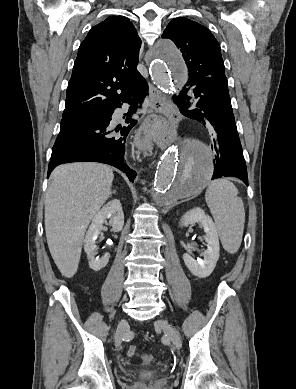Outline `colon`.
<instances>
[{"label": "colon", "mask_w": 296, "mask_h": 389, "mask_svg": "<svg viewBox=\"0 0 296 389\" xmlns=\"http://www.w3.org/2000/svg\"><path fill=\"white\" fill-rule=\"evenodd\" d=\"M127 354H128V356H130V357L135 356V355L137 354V349H136V347L133 346V345L130 346V347L128 348V350H127ZM142 357H143V359L146 360V361H151V360H152V356H151V355L145 354V355H143Z\"/></svg>", "instance_id": "colon-1"}]
</instances>
